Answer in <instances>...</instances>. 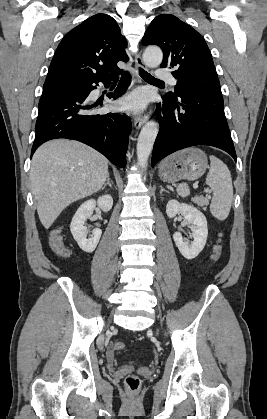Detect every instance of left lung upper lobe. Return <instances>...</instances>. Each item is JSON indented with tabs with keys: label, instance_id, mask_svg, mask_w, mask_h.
I'll return each instance as SVG.
<instances>
[{
	"label": "left lung upper lobe",
	"instance_id": "obj_1",
	"mask_svg": "<svg viewBox=\"0 0 267 419\" xmlns=\"http://www.w3.org/2000/svg\"><path fill=\"white\" fill-rule=\"evenodd\" d=\"M143 45H158L163 51L162 68H171L177 79L175 91L166 97L176 100L185 93L203 89L220 90L210 50L201 34L171 14L153 19L142 39Z\"/></svg>",
	"mask_w": 267,
	"mask_h": 419
}]
</instances>
